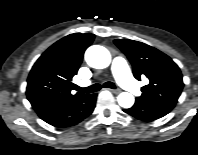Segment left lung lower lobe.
<instances>
[{
	"label": "left lung lower lobe",
	"instance_id": "left-lung-lower-lobe-1",
	"mask_svg": "<svg viewBox=\"0 0 198 155\" xmlns=\"http://www.w3.org/2000/svg\"><path fill=\"white\" fill-rule=\"evenodd\" d=\"M174 106L172 104H148L136 100L131 108L123 111L137 119L152 121L168 114Z\"/></svg>",
	"mask_w": 198,
	"mask_h": 155
}]
</instances>
